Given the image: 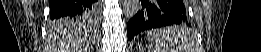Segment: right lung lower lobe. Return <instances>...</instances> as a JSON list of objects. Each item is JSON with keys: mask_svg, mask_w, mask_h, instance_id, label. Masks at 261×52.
<instances>
[{"mask_svg": "<svg viewBox=\"0 0 261 52\" xmlns=\"http://www.w3.org/2000/svg\"><path fill=\"white\" fill-rule=\"evenodd\" d=\"M50 18L89 16L97 17L99 3L96 0H49Z\"/></svg>", "mask_w": 261, "mask_h": 52, "instance_id": "obj_1", "label": "right lung lower lobe"}]
</instances>
